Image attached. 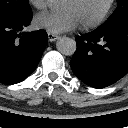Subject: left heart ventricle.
I'll use <instances>...</instances> for the list:
<instances>
[{"instance_id":"left-heart-ventricle-1","label":"left heart ventricle","mask_w":128,"mask_h":128,"mask_svg":"<svg viewBox=\"0 0 128 128\" xmlns=\"http://www.w3.org/2000/svg\"><path fill=\"white\" fill-rule=\"evenodd\" d=\"M108 0H65L64 11L75 14L80 24L95 20L104 10Z\"/></svg>"}]
</instances>
